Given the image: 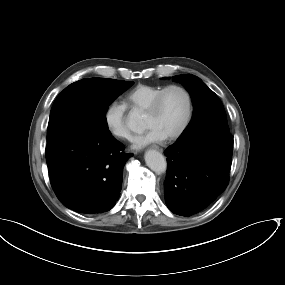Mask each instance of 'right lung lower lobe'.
<instances>
[{"instance_id":"right-lung-lower-lobe-1","label":"right lung lower lobe","mask_w":285,"mask_h":285,"mask_svg":"<svg viewBox=\"0 0 285 285\" xmlns=\"http://www.w3.org/2000/svg\"><path fill=\"white\" fill-rule=\"evenodd\" d=\"M123 150L109 130L86 122L47 144L48 172L57 198L82 214L112 209L120 195L123 167L132 155Z\"/></svg>"}]
</instances>
